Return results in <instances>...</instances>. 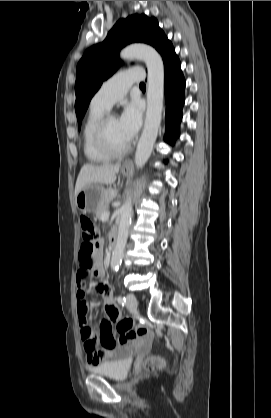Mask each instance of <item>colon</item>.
<instances>
[{
  "label": "colon",
  "mask_w": 271,
  "mask_h": 418,
  "mask_svg": "<svg viewBox=\"0 0 271 418\" xmlns=\"http://www.w3.org/2000/svg\"><path fill=\"white\" fill-rule=\"evenodd\" d=\"M79 225L82 245H86L87 242H94L96 246L97 230L93 222L88 217L82 216L80 217ZM132 328L133 321L131 319H123L118 323L117 330L122 334L121 342L127 343L136 336L144 337L148 335V329L144 326H137L135 331ZM148 365L152 368L160 367L163 365V360L159 357H152L148 360Z\"/></svg>",
  "instance_id": "colon-1"
}]
</instances>
